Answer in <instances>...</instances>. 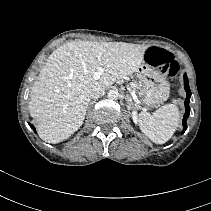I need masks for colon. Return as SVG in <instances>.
<instances>
[{"mask_svg":"<svg viewBox=\"0 0 211 211\" xmlns=\"http://www.w3.org/2000/svg\"><path fill=\"white\" fill-rule=\"evenodd\" d=\"M146 60L168 77H174L179 72V64L174 59V56L165 49L158 47L148 49Z\"/></svg>","mask_w":211,"mask_h":211,"instance_id":"1","label":"colon"}]
</instances>
